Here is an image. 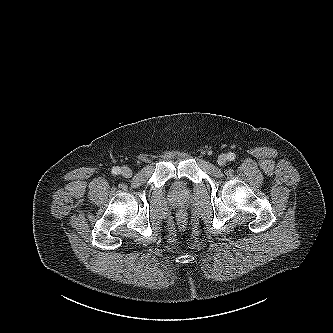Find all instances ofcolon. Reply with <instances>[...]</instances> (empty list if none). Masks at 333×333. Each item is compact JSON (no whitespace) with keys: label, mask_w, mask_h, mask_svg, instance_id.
<instances>
[{"label":"colon","mask_w":333,"mask_h":333,"mask_svg":"<svg viewBox=\"0 0 333 333\" xmlns=\"http://www.w3.org/2000/svg\"><path fill=\"white\" fill-rule=\"evenodd\" d=\"M178 226L180 229H184L186 227L187 224V218L184 212H180L178 214Z\"/></svg>","instance_id":"1"}]
</instances>
